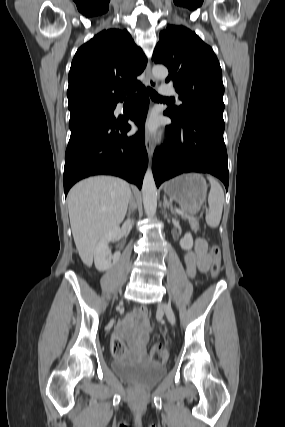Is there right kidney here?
I'll return each mask as SVG.
<instances>
[{"instance_id": "obj_1", "label": "right kidney", "mask_w": 285, "mask_h": 427, "mask_svg": "<svg viewBox=\"0 0 285 427\" xmlns=\"http://www.w3.org/2000/svg\"><path fill=\"white\" fill-rule=\"evenodd\" d=\"M119 229H113L100 239L94 251V263L98 271H106L112 267L120 258V253L108 257L107 249L110 241L117 239Z\"/></svg>"}]
</instances>
